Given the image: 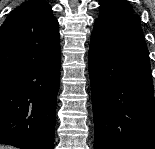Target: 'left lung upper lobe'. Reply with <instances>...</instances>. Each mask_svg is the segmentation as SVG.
Returning a JSON list of instances; mask_svg holds the SVG:
<instances>
[{
    "label": "left lung upper lobe",
    "mask_w": 155,
    "mask_h": 149,
    "mask_svg": "<svg viewBox=\"0 0 155 149\" xmlns=\"http://www.w3.org/2000/svg\"><path fill=\"white\" fill-rule=\"evenodd\" d=\"M100 4V16L96 20L98 23L136 15L133 13L131 5L126 0H101ZM136 16L139 17L138 15Z\"/></svg>",
    "instance_id": "1"
}]
</instances>
